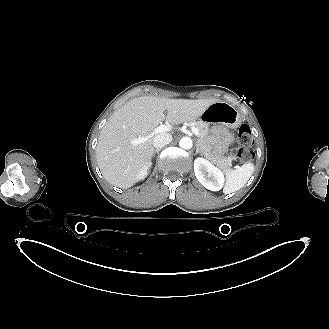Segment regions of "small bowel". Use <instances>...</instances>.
I'll return each instance as SVG.
<instances>
[{"mask_svg": "<svg viewBox=\"0 0 329 329\" xmlns=\"http://www.w3.org/2000/svg\"><path fill=\"white\" fill-rule=\"evenodd\" d=\"M213 141L218 152H225L234 142V135L221 127L213 130Z\"/></svg>", "mask_w": 329, "mask_h": 329, "instance_id": "small-bowel-1", "label": "small bowel"}]
</instances>
